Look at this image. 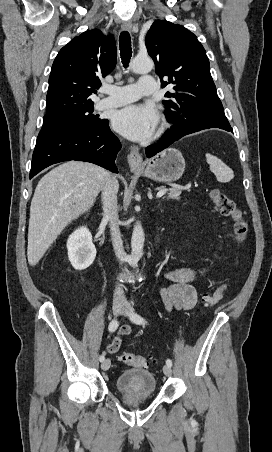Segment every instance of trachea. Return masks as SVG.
Masks as SVG:
<instances>
[{
	"label": "trachea",
	"mask_w": 272,
	"mask_h": 452,
	"mask_svg": "<svg viewBox=\"0 0 272 452\" xmlns=\"http://www.w3.org/2000/svg\"><path fill=\"white\" fill-rule=\"evenodd\" d=\"M119 46L123 66L127 68L132 56L131 37L127 31L121 32Z\"/></svg>",
	"instance_id": "trachea-1"
}]
</instances>
